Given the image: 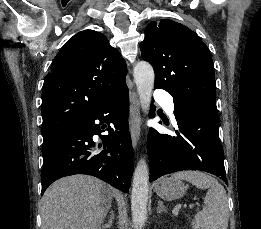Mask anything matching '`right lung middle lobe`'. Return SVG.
Listing matches in <instances>:
<instances>
[{
	"instance_id": "dd1d6c3e",
	"label": "right lung middle lobe",
	"mask_w": 261,
	"mask_h": 229,
	"mask_svg": "<svg viewBox=\"0 0 261 229\" xmlns=\"http://www.w3.org/2000/svg\"><path fill=\"white\" fill-rule=\"evenodd\" d=\"M61 132L57 130H42V135H43V143H46L56 136L60 135Z\"/></svg>"
}]
</instances>
